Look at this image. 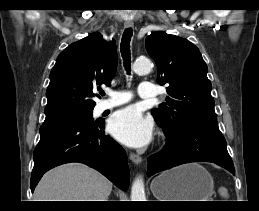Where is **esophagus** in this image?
I'll use <instances>...</instances> for the list:
<instances>
[{
  "label": "esophagus",
  "mask_w": 259,
  "mask_h": 211,
  "mask_svg": "<svg viewBox=\"0 0 259 211\" xmlns=\"http://www.w3.org/2000/svg\"><path fill=\"white\" fill-rule=\"evenodd\" d=\"M133 22H125V24H124V27L125 28H133ZM130 159H131V161L134 163V164H140L141 162H142V158H141V156L140 155H137V154H135V153H131L130 154Z\"/></svg>",
  "instance_id": "34e87169"
}]
</instances>
